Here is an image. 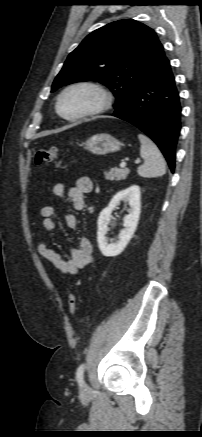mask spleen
<instances>
[{
	"mask_svg": "<svg viewBox=\"0 0 202 437\" xmlns=\"http://www.w3.org/2000/svg\"><path fill=\"white\" fill-rule=\"evenodd\" d=\"M138 138L141 142L140 156L144 159V164L138 167L137 173L145 178L163 176L166 173V163L160 150L147 136L139 134Z\"/></svg>",
	"mask_w": 202,
	"mask_h": 437,
	"instance_id": "1",
	"label": "spleen"
}]
</instances>
